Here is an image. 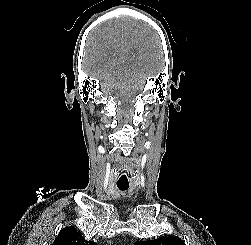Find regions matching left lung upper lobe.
<instances>
[{"mask_svg":"<svg viewBox=\"0 0 251 245\" xmlns=\"http://www.w3.org/2000/svg\"><path fill=\"white\" fill-rule=\"evenodd\" d=\"M134 245H185V243L177 236H167L150 241H137Z\"/></svg>","mask_w":251,"mask_h":245,"instance_id":"obj_1","label":"left lung upper lobe"}]
</instances>
